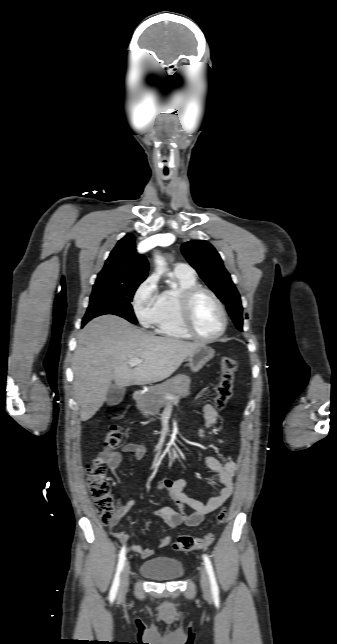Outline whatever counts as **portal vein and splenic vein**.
Segmentation results:
<instances>
[{"mask_svg":"<svg viewBox=\"0 0 337 644\" xmlns=\"http://www.w3.org/2000/svg\"><path fill=\"white\" fill-rule=\"evenodd\" d=\"M141 362H142V360L140 358H133V359L127 361V364L130 365V366H136V365L140 364ZM167 397L170 398V399H175V397H173V396L168 395Z\"/></svg>","mask_w":337,"mask_h":644,"instance_id":"portal-vein-and-splenic-vein-1","label":"portal vein and splenic vein"}]
</instances>
